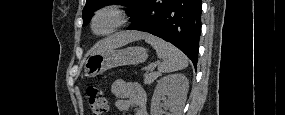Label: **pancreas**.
Wrapping results in <instances>:
<instances>
[{"mask_svg":"<svg viewBox=\"0 0 285 115\" xmlns=\"http://www.w3.org/2000/svg\"><path fill=\"white\" fill-rule=\"evenodd\" d=\"M159 76H161V73L159 72H146L144 74V83L147 85L152 84Z\"/></svg>","mask_w":285,"mask_h":115,"instance_id":"cf45deb5","label":"pancreas"}]
</instances>
